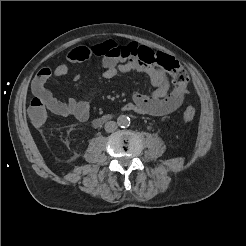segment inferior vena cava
I'll use <instances>...</instances> for the list:
<instances>
[{
    "label": "inferior vena cava",
    "instance_id": "inferior-vena-cava-1",
    "mask_svg": "<svg viewBox=\"0 0 246 246\" xmlns=\"http://www.w3.org/2000/svg\"><path fill=\"white\" fill-rule=\"evenodd\" d=\"M105 131L106 132H114L117 129V123L114 121H108L105 126Z\"/></svg>",
    "mask_w": 246,
    "mask_h": 246
}]
</instances>
